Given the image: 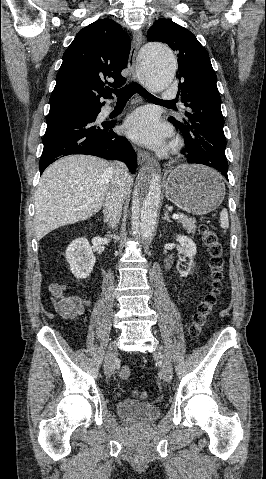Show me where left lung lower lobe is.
Instances as JSON below:
<instances>
[{"mask_svg": "<svg viewBox=\"0 0 266 479\" xmlns=\"http://www.w3.org/2000/svg\"><path fill=\"white\" fill-rule=\"evenodd\" d=\"M182 154H185L184 157L187 158V161L189 163H198L195 159L190 158L186 149L182 150ZM199 164H201V163H199ZM207 166H209V165H207ZM210 167H213V168L217 169L228 179V175H227L228 163H222L221 161H217L216 163L212 164Z\"/></svg>", "mask_w": 266, "mask_h": 479, "instance_id": "0a47b994", "label": "left lung lower lobe"}]
</instances>
